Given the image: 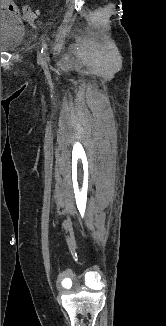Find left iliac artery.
I'll return each instance as SVG.
<instances>
[{"mask_svg": "<svg viewBox=\"0 0 166 326\" xmlns=\"http://www.w3.org/2000/svg\"><path fill=\"white\" fill-rule=\"evenodd\" d=\"M46 50H47V45H46V43H45V41L43 39L41 53H44L45 54L46 53Z\"/></svg>", "mask_w": 166, "mask_h": 326, "instance_id": "obj_1", "label": "left iliac artery"}]
</instances>
